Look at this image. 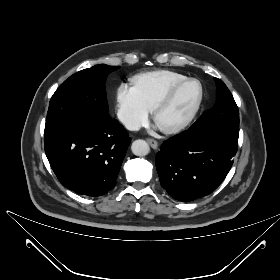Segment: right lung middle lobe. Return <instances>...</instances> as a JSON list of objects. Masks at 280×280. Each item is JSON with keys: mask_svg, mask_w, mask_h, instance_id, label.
Listing matches in <instances>:
<instances>
[{"mask_svg": "<svg viewBox=\"0 0 280 280\" xmlns=\"http://www.w3.org/2000/svg\"><path fill=\"white\" fill-rule=\"evenodd\" d=\"M118 68L119 66L95 65L65 80L50 100L45 132L58 124L72 121L109 122L111 117L105 82L107 75Z\"/></svg>", "mask_w": 280, "mask_h": 280, "instance_id": "dd1d6c3e", "label": "right lung middle lobe"}]
</instances>
